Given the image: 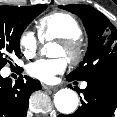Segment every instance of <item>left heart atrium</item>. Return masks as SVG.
<instances>
[{
  "mask_svg": "<svg viewBox=\"0 0 117 117\" xmlns=\"http://www.w3.org/2000/svg\"><path fill=\"white\" fill-rule=\"evenodd\" d=\"M68 66L65 57L59 56L51 59H39L27 67L28 74L44 83H53L57 75L62 74Z\"/></svg>",
  "mask_w": 117,
  "mask_h": 117,
  "instance_id": "left-heart-atrium-1",
  "label": "left heart atrium"
}]
</instances>
